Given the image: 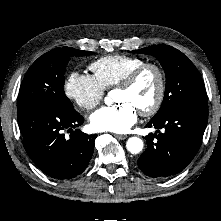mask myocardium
Wrapping results in <instances>:
<instances>
[{"mask_svg": "<svg viewBox=\"0 0 221 221\" xmlns=\"http://www.w3.org/2000/svg\"><path fill=\"white\" fill-rule=\"evenodd\" d=\"M148 69H151L156 73L158 78V88L155 100L152 105L139 111V114L143 117L154 115L160 109L163 103L166 92V78L163 69L155 63H143L142 65L132 70L116 85L117 88L128 89L132 87L137 79L141 76V74Z\"/></svg>", "mask_w": 221, "mask_h": 221, "instance_id": "obj_1", "label": "myocardium"}]
</instances>
